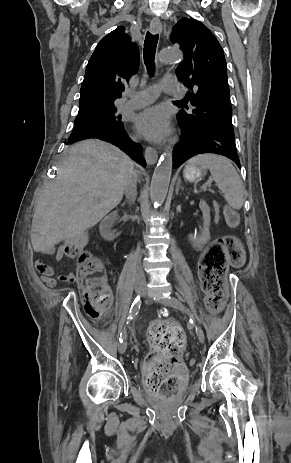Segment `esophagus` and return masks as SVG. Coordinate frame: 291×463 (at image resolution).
Here are the masks:
<instances>
[{
	"instance_id": "obj_1",
	"label": "esophagus",
	"mask_w": 291,
	"mask_h": 463,
	"mask_svg": "<svg viewBox=\"0 0 291 463\" xmlns=\"http://www.w3.org/2000/svg\"><path fill=\"white\" fill-rule=\"evenodd\" d=\"M150 31L153 34L162 32V23L158 18H153L150 22ZM145 159L148 164H155L158 159V154L155 149L152 147H146L145 149Z\"/></svg>"
}]
</instances>
